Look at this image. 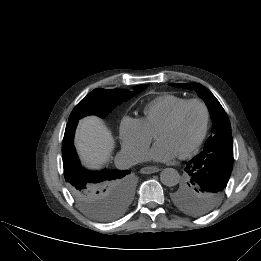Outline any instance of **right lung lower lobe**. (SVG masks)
<instances>
[{"mask_svg": "<svg viewBox=\"0 0 261 261\" xmlns=\"http://www.w3.org/2000/svg\"><path fill=\"white\" fill-rule=\"evenodd\" d=\"M77 122V119L69 121L65 129V134L62 143V156L65 175H71L72 173H80L83 177V182L95 183L101 181L102 179L111 178L119 175H127L130 173V171L128 170L118 171L107 169L95 173L83 169L81 167V164L79 162L73 145L74 131Z\"/></svg>", "mask_w": 261, "mask_h": 261, "instance_id": "98d812e1", "label": "right lung lower lobe"}]
</instances>
